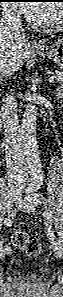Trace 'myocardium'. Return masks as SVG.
Masks as SVG:
<instances>
[{
  "instance_id": "f54148a6",
  "label": "myocardium",
  "mask_w": 63,
  "mask_h": 297,
  "mask_svg": "<svg viewBox=\"0 0 63 297\" xmlns=\"http://www.w3.org/2000/svg\"><path fill=\"white\" fill-rule=\"evenodd\" d=\"M59 9V19L56 23L54 24H43V23H39V24H34L35 27L42 29L43 31L46 32H56L59 31L62 27V22H63V9L62 6L59 5L58 6Z\"/></svg>"
}]
</instances>
